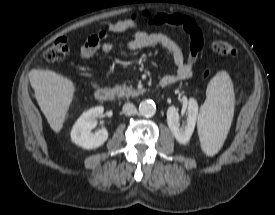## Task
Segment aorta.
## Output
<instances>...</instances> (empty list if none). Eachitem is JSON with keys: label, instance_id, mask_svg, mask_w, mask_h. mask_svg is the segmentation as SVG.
<instances>
[{"label": "aorta", "instance_id": "762f6f07", "mask_svg": "<svg viewBox=\"0 0 275 215\" xmlns=\"http://www.w3.org/2000/svg\"><path fill=\"white\" fill-rule=\"evenodd\" d=\"M139 113L144 117H152L156 113V106L152 101H142L139 105Z\"/></svg>", "mask_w": 275, "mask_h": 215}]
</instances>
